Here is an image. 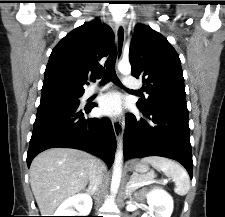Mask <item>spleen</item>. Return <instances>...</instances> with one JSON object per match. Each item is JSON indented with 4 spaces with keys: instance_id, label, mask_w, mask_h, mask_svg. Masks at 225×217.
<instances>
[{
    "instance_id": "1",
    "label": "spleen",
    "mask_w": 225,
    "mask_h": 217,
    "mask_svg": "<svg viewBox=\"0 0 225 217\" xmlns=\"http://www.w3.org/2000/svg\"><path fill=\"white\" fill-rule=\"evenodd\" d=\"M144 162L150 163L158 171H162L166 176H170L175 181V192L184 196L190 189V179L186 170L174 160L150 156L143 159Z\"/></svg>"
}]
</instances>
